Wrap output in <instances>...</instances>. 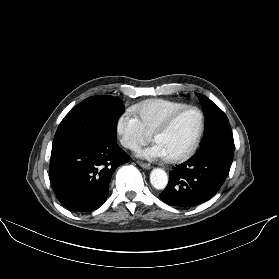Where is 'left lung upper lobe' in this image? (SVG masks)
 Instances as JSON below:
<instances>
[{"instance_id":"obj_1","label":"left lung upper lobe","mask_w":279,"mask_h":279,"mask_svg":"<svg viewBox=\"0 0 279 279\" xmlns=\"http://www.w3.org/2000/svg\"><path fill=\"white\" fill-rule=\"evenodd\" d=\"M198 96L202 99L206 117L205 134L198 152L209 146H219L234 152V140L227 116L209 98L201 94Z\"/></svg>"}]
</instances>
